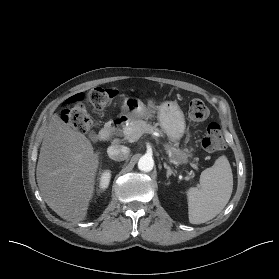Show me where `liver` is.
Listing matches in <instances>:
<instances>
[{"mask_svg":"<svg viewBox=\"0 0 279 279\" xmlns=\"http://www.w3.org/2000/svg\"><path fill=\"white\" fill-rule=\"evenodd\" d=\"M98 164L99 153L85 135L55 114L40 148L36 179L44 201L72 225L86 217Z\"/></svg>","mask_w":279,"mask_h":279,"instance_id":"obj_1","label":"liver"}]
</instances>
